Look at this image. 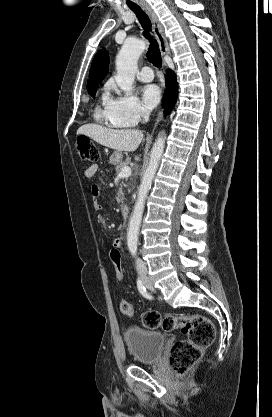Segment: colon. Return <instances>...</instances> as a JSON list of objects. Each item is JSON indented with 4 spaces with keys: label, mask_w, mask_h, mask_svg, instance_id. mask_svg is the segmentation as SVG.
Returning <instances> with one entry per match:
<instances>
[{
    "label": "colon",
    "mask_w": 272,
    "mask_h": 417,
    "mask_svg": "<svg viewBox=\"0 0 272 417\" xmlns=\"http://www.w3.org/2000/svg\"><path fill=\"white\" fill-rule=\"evenodd\" d=\"M78 154L86 161H96L99 157L97 147L87 137H79ZM110 260L118 281L123 278L122 255L118 248L112 247ZM120 312L131 317L134 314L132 304L122 299L119 302ZM142 323L151 329L161 328L165 331L180 330L187 338L176 341L170 351L169 361L178 376L187 374L201 359L203 351L215 338V327L206 317L199 314L166 315L162 317L155 311H148L142 316Z\"/></svg>",
    "instance_id": "1"
}]
</instances>
